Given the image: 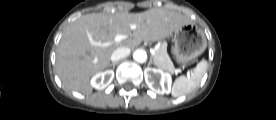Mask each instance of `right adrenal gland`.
Segmentation results:
<instances>
[{"label":"right adrenal gland","instance_id":"1","mask_svg":"<svg viewBox=\"0 0 276 120\" xmlns=\"http://www.w3.org/2000/svg\"><path fill=\"white\" fill-rule=\"evenodd\" d=\"M116 64H117V62H114V63L110 64L109 66H113V69H114Z\"/></svg>","mask_w":276,"mask_h":120}]
</instances>
